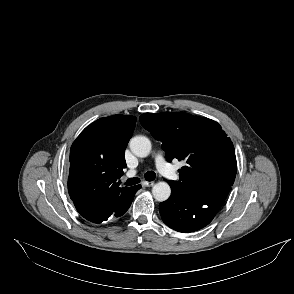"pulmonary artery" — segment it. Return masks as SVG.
<instances>
[{"instance_id": "e3ab8cb5", "label": "pulmonary artery", "mask_w": 294, "mask_h": 294, "mask_svg": "<svg viewBox=\"0 0 294 294\" xmlns=\"http://www.w3.org/2000/svg\"><path fill=\"white\" fill-rule=\"evenodd\" d=\"M155 164L159 171H161L162 173H168L171 170L170 165L165 161L164 157L161 154L156 155ZM135 173V170H130L128 172V176H134Z\"/></svg>"}]
</instances>
